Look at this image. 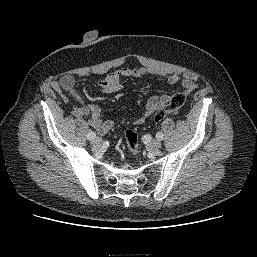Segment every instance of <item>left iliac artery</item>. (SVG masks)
I'll return each mask as SVG.
<instances>
[{"label": "left iliac artery", "instance_id": "left-iliac-artery-1", "mask_svg": "<svg viewBox=\"0 0 257 257\" xmlns=\"http://www.w3.org/2000/svg\"><path fill=\"white\" fill-rule=\"evenodd\" d=\"M156 138L159 139V140H163V139H164L163 133H162V132H158V133L156 134Z\"/></svg>", "mask_w": 257, "mask_h": 257}]
</instances>
